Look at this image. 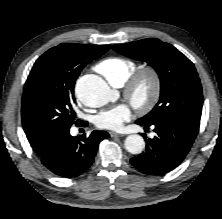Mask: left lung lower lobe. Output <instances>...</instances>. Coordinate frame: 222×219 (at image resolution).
<instances>
[{"label": "left lung lower lobe", "mask_w": 222, "mask_h": 219, "mask_svg": "<svg viewBox=\"0 0 222 219\" xmlns=\"http://www.w3.org/2000/svg\"><path fill=\"white\" fill-rule=\"evenodd\" d=\"M137 124L149 129L154 126L157 133L153 139L146 141V150L130 161L138 170L149 175H161L173 170L189 152L199 126L178 118L163 119L154 123L138 121ZM146 138L145 134H143Z\"/></svg>", "instance_id": "left-lung-lower-lobe-1"}]
</instances>
